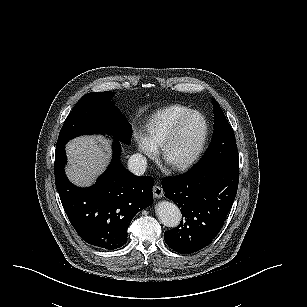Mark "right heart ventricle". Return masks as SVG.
Segmentation results:
<instances>
[{
	"mask_svg": "<svg viewBox=\"0 0 307 307\" xmlns=\"http://www.w3.org/2000/svg\"><path fill=\"white\" fill-rule=\"evenodd\" d=\"M183 119V110L177 104H167L155 111L146 122L144 130L146 135L157 141H166Z\"/></svg>",
	"mask_w": 307,
	"mask_h": 307,
	"instance_id": "1",
	"label": "right heart ventricle"
}]
</instances>
